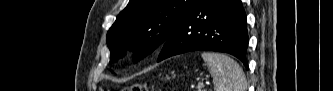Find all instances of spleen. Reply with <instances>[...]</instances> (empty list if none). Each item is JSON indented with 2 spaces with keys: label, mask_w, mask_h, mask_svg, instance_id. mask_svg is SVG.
I'll use <instances>...</instances> for the list:
<instances>
[{
  "label": "spleen",
  "mask_w": 333,
  "mask_h": 91,
  "mask_svg": "<svg viewBox=\"0 0 333 91\" xmlns=\"http://www.w3.org/2000/svg\"><path fill=\"white\" fill-rule=\"evenodd\" d=\"M213 77L214 91H246L245 74L239 64L225 54H201Z\"/></svg>",
  "instance_id": "spleen-1"
}]
</instances>
